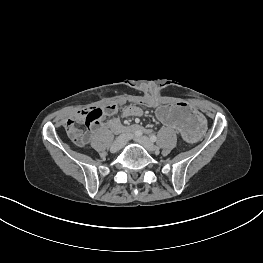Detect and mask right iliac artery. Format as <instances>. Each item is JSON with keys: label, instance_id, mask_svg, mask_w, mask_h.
I'll return each mask as SVG.
<instances>
[{"label": "right iliac artery", "instance_id": "obj_1", "mask_svg": "<svg viewBox=\"0 0 263 263\" xmlns=\"http://www.w3.org/2000/svg\"><path fill=\"white\" fill-rule=\"evenodd\" d=\"M134 132V134L136 135V136H141L142 135V131L141 130H135V131H133Z\"/></svg>", "mask_w": 263, "mask_h": 263}]
</instances>
